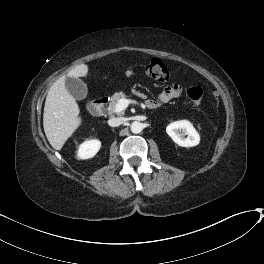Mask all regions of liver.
Segmentation results:
<instances>
[{"label":"liver","mask_w":264,"mask_h":264,"mask_svg":"<svg viewBox=\"0 0 264 264\" xmlns=\"http://www.w3.org/2000/svg\"><path fill=\"white\" fill-rule=\"evenodd\" d=\"M88 66L79 64L61 76L50 87L44 106L43 127L50 145L61 150L65 142L81 125L79 106L66 88L67 77H86Z\"/></svg>","instance_id":"1"}]
</instances>
